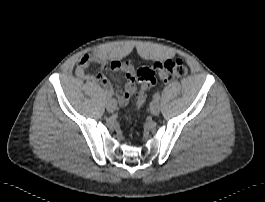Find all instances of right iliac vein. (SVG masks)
I'll return each instance as SVG.
<instances>
[{"label": "right iliac vein", "instance_id": "obj_1", "mask_svg": "<svg viewBox=\"0 0 265 202\" xmlns=\"http://www.w3.org/2000/svg\"><path fill=\"white\" fill-rule=\"evenodd\" d=\"M108 112H114L117 109V102L115 99H109L106 103Z\"/></svg>", "mask_w": 265, "mask_h": 202}]
</instances>
